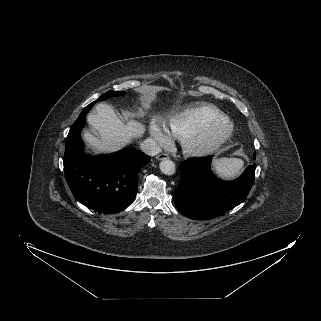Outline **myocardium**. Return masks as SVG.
Returning <instances> with one entry per match:
<instances>
[{
    "label": "myocardium",
    "mask_w": 321,
    "mask_h": 321,
    "mask_svg": "<svg viewBox=\"0 0 321 321\" xmlns=\"http://www.w3.org/2000/svg\"><path fill=\"white\" fill-rule=\"evenodd\" d=\"M233 132L234 124L227 117L210 121L182 140L184 152L194 157L211 155L231 138Z\"/></svg>",
    "instance_id": "myocardium-1"
}]
</instances>
